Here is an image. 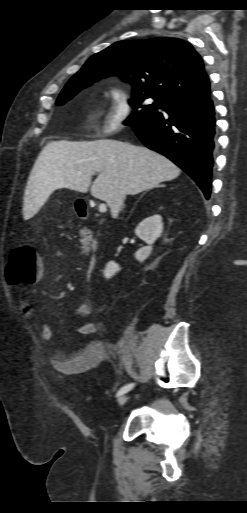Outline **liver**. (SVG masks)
Instances as JSON below:
<instances>
[{"mask_svg":"<svg viewBox=\"0 0 247 513\" xmlns=\"http://www.w3.org/2000/svg\"><path fill=\"white\" fill-rule=\"evenodd\" d=\"M181 170L163 155L144 146L117 140L55 141L39 154L24 192L23 214H36L49 195L67 188L86 193L98 173L91 194L105 201L116 218L120 199L170 181Z\"/></svg>","mask_w":247,"mask_h":513,"instance_id":"6515ba94","label":"liver"}]
</instances>
